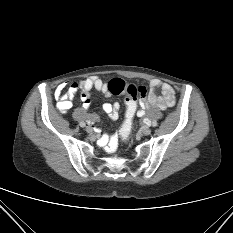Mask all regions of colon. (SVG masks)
I'll use <instances>...</instances> for the list:
<instances>
[{
  "label": "colon",
  "mask_w": 233,
  "mask_h": 233,
  "mask_svg": "<svg viewBox=\"0 0 233 233\" xmlns=\"http://www.w3.org/2000/svg\"><path fill=\"white\" fill-rule=\"evenodd\" d=\"M110 93L114 95L126 94L124 101V120L120 128V136L128 140L132 130V122L137 111V101L145 97L146 89L143 86L127 83L121 79H112L108 83Z\"/></svg>",
  "instance_id": "obj_1"
}]
</instances>
